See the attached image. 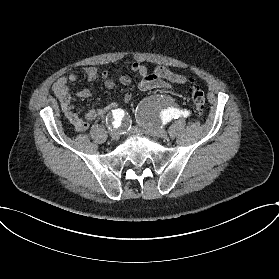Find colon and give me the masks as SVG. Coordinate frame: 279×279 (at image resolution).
Segmentation results:
<instances>
[{
  "label": "colon",
  "instance_id": "colon-1",
  "mask_svg": "<svg viewBox=\"0 0 279 279\" xmlns=\"http://www.w3.org/2000/svg\"><path fill=\"white\" fill-rule=\"evenodd\" d=\"M191 99L199 115L204 113L205 96L203 90L195 83L190 85Z\"/></svg>",
  "mask_w": 279,
  "mask_h": 279
}]
</instances>
